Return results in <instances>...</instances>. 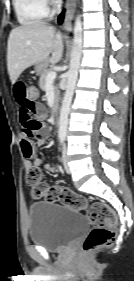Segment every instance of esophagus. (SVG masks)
<instances>
[{
    "label": "esophagus",
    "mask_w": 134,
    "mask_h": 281,
    "mask_svg": "<svg viewBox=\"0 0 134 281\" xmlns=\"http://www.w3.org/2000/svg\"><path fill=\"white\" fill-rule=\"evenodd\" d=\"M76 1L77 0H67L65 5V20H64L63 29L67 31H70L72 28L71 20L76 8Z\"/></svg>",
    "instance_id": "1"
}]
</instances>
